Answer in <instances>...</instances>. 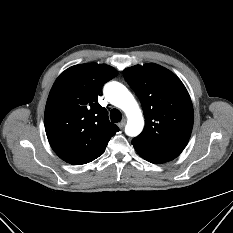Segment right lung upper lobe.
<instances>
[{
    "label": "right lung upper lobe",
    "instance_id": "right-lung-upper-lobe-1",
    "mask_svg": "<svg viewBox=\"0 0 233 233\" xmlns=\"http://www.w3.org/2000/svg\"><path fill=\"white\" fill-rule=\"evenodd\" d=\"M106 64H80L55 81L45 108V130L54 152L73 165L86 164L105 151L119 128L98 103L100 88L117 76Z\"/></svg>",
    "mask_w": 233,
    "mask_h": 233
}]
</instances>
